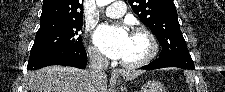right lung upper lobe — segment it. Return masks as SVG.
<instances>
[{
	"mask_svg": "<svg viewBox=\"0 0 225 92\" xmlns=\"http://www.w3.org/2000/svg\"><path fill=\"white\" fill-rule=\"evenodd\" d=\"M83 0H44L40 24L82 22Z\"/></svg>",
	"mask_w": 225,
	"mask_h": 92,
	"instance_id": "1",
	"label": "right lung upper lobe"
}]
</instances>
